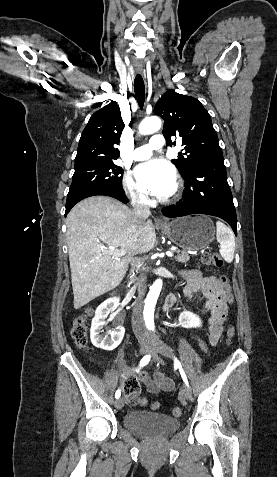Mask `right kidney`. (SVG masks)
I'll return each instance as SVG.
<instances>
[{
    "label": "right kidney",
    "instance_id": "obj_1",
    "mask_svg": "<svg viewBox=\"0 0 277 477\" xmlns=\"http://www.w3.org/2000/svg\"><path fill=\"white\" fill-rule=\"evenodd\" d=\"M119 302V297H112L97 307L90 329L91 342L95 347L112 351L121 343L125 334V328L121 324H118L113 331H109L105 337L101 334L106 324L105 319L111 310L117 308Z\"/></svg>",
    "mask_w": 277,
    "mask_h": 477
}]
</instances>
